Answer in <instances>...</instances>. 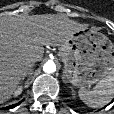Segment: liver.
<instances>
[{
    "label": "liver",
    "instance_id": "liver-1",
    "mask_svg": "<svg viewBox=\"0 0 114 114\" xmlns=\"http://www.w3.org/2000/svg\"><path fill=\"white\" fill-rule=\"evenodd\" d=\"M87 27L66 17L33 15L0 19V104L11 98L44 46H61L75 31Z\"/></svg>",
    "mask_w": 114,
    "mask_h": 114
}]
</instances>
